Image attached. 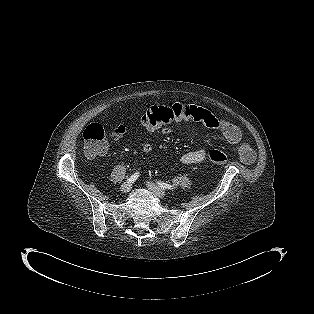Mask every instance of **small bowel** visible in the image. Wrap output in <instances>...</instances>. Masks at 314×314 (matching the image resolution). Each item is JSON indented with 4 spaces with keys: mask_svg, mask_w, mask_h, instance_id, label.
Masks as SVG:
<instances>
[{
    "mask_svg": "<svg viewBox=\"0 0 314 314\" xmlns=\"http://www.w3.org/2000/svg\"><path fill=\"white\" fill-rule=\"evenodd\" d=\"M187 120L200 123L210 130L217 131L228 143L239 145L238 154L240 161L246 165L253 163L255 153L250 145L241 143V130L232 122L219 118L202 107L188 106L179 101H173L165 105L152 104L146 108L141 120V126L148 132H153L160 126H163L161 133L168 135L172 131L171 124L176 122L183 123ZM124 131L123 127L116 134V137H121ZM151 150L152 145L150 143L144 142L141 144V151L143 153H149ZM206 157L205 150L197 149L184 153L181 156V162L185 165H193L205 161Z\"/></svg>",
    "mask_w": 314,
    "mask_h": 314,
    "instance_id": "small-bowel-1",
    "label": "small bowel"
}]
</instances>
